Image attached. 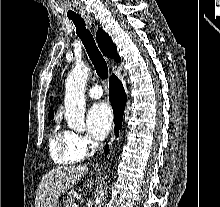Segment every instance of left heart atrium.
I'll use <instances>...</instances> for the list:
<instances>
[{"mask_svg": "<svg viewBox=\"0 0 220 207\" xmlns=\"http://www.w3.org/2000/svg\"><path fill=\"white\" fill-rule=\"evenodd\" d=\"M113 114L106 102L94 104L87 114V128L89 135L101 140L107 136L111 129Z\"/></svg>", "mask_w": 220, "mask_h": 207, "instance_id": "39dd6f15", "label": "left heart atrium"}]
</instances>
